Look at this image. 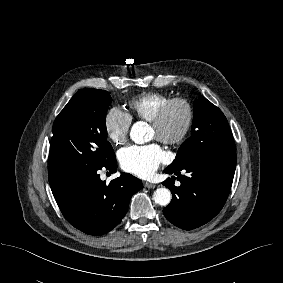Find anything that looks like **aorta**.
<instances>
[{"instance_id":"aorta-1","label":"aorta","mask_w":283,"mask_h":283,"mask_svg":"<svg viewBox=\"0 0 283 283\" xmlns=\"http://www.w3.org/2000/svg\"><path fill=\"white\" fill-rule=\"evenodd\" d=\"M147 131L148 125L145 122H136L131 128L130 138L137 144H143L148 141ZM153 199L155 203L167 206L171 201V192L167 188H158L153 194Z\"/></svg>"}]
</instances>
